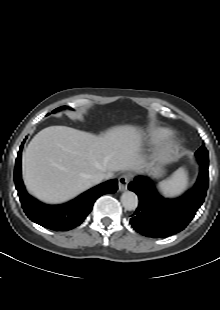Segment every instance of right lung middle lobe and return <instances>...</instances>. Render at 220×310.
Segmentation results:
<instances>
[{
	"label": "right lung middle lobe",
	"mask_w": 220,
	"mask_h": 310,
	"mask_svg": "<svg viewBox=\"0 0 220 310\" xmlns=\"http://www.w3.org/2000/svg\"><path fill=\"white\" fill-rule=\"evenodd\" d=\"M63 108H66V106H63V107L57 108V109H55L53 112H56V111L61 110V109H63Z\"/></svg>",
	"instance_id": "obj_1"
}]
</instances>
